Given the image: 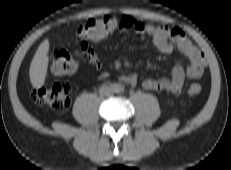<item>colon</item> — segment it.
<instances>
[{
    "mask_svg": "<svg viewBox=\"0 0 231 170\" xmlns=\"http://www.w3.org/2000/svg\"><path fill=\"white\" fill-rule=\"evenodd\" d=\"M120 18L105 15L101 18H92L81 25L78 29V36L82 40H101L110 36L119 28ZM77 61L71 54L62 47H58L53 52L51 71L56 76H64L73 73L77 69ZM202 86L198 82H193L188 86L189 95H198ZM71 87L66 83H55L49 87L34 89L31 97L34 102L56 110L68 108L71 104Z\"/></svg>",
    "mask_w": 231,
    "mask_h": 170,
    "instance_id": "5ec220e1",
    "label": "colon"
}]
</instances>
